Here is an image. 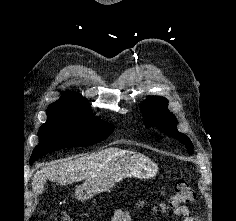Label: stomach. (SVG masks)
I'll list each match as a JSON object with an SVG mask.
<instances>
[{"label":"stomach","mask_w":236,"mask_h":221,"mask_svg":"<svg viewBox=\"0 0 236 221\" xmlns=\"http://www.w3.org/2000/svg\"><path fill=\"white\" fill-rule=\"evenodd\" d=\"M157 170V164L145 155L122 151L110 157L87 177L76 188L75 196L79 200H86L109 190L123 178L148 179L153 177Z\"/></svg>","instance_id":"1"}]
</instances>
